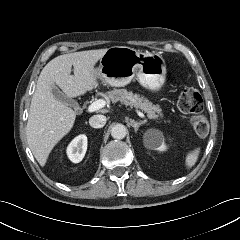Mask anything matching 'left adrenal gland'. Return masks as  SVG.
<instances>
[{
  "mask_svg": "<svg viewBox=\"0 0 240 240\" xmlns=\"http://www.w3.org/2000/svg\"><path fill=\"white\" fill-rule=\"evenodd\" d=\"M131 126L134 128L135 132L138 131L139 127L146 123V120L137 122L135 120H130Z\"/></svg>",
  "mask_w": 240,
  "mask_h": 240,
  "instance_id": "obj_1",
  "label": "left adrenal gland"
}]
</instances>
